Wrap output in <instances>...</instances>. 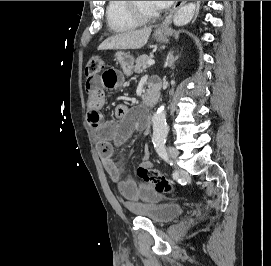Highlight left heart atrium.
Wrapping results in <instances>:
<instances>
[{"label":"left heart atrium","mask_w":271,"mask_h":266,"mask_svg":"<svg viewBox=\"0 0 271 266\" xmlns=\"http://www.w3.org/2000/svg\"><path fill=\"white\" fill-rule=\"evenodd\" d=\"M154 7L160 11V10H163L167 7H169L173 1H152Z\"/></svg>","instance_id":"obj_1"}]
</instances>
